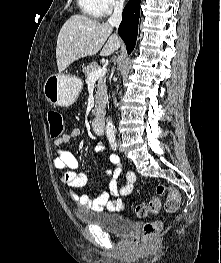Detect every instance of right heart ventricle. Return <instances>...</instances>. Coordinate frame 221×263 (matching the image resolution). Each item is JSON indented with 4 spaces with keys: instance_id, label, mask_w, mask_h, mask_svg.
<instances>
[{
    "instance_id": "right-heart-ventricle-1",
    "label": "right heart ventricle",
    "mask_w": 221,
    "mask_h": 263,
    "mask_svg": "<svg viewBox=\"0 0 221 263\" xmlns=\"http://www.w3.org/2000/svg\"><path fill=\"white\" fill-rule=\"evenodd\" d=\"M78 5L84 14L92 18L102 16L98 0H78Z\"/></svg>"
}]
</instances>
